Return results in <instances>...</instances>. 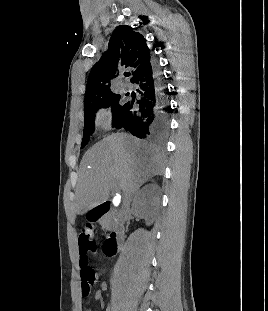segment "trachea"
Here are the masks:
<instances>
[{
	"mask_svg": "<svg viewBox=\"0 0 268 311\" xmlns=\"http://www.w3.org/2000/svg\"><path fill=\"white\" fill-rule=\"evenodd\" d=\"M130 74L129 73H124V76L125 77H128Z\"/></svg>",
	"mask_w": 268,
	"mask_h": 311,
	"instance_id": "3493384b",
	"label": "trachea"
}]
</instances>
